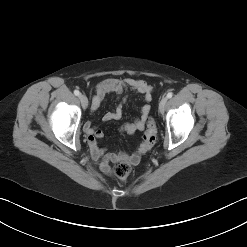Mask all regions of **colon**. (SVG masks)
Returning <instances> with one entry per match:
<instances>
[{
    "instance_id": "5ec220e1",
    "label": "colon",
    "mask_w": 247,
    "mask_h": 247,
    "mask_svg": "<svg viewBox=\"0 0 247 247\" xmlns=\"http://www.w3.org/2000/svg\"><path fill=\"white\" fill-rule=\"evenodd\" d=\"M157 126L152 118H147L146 130L143 135V141L139 148V153L144 154L148 152L156 142ZM131 171V164L128 161H119L113 167L115 176L119 179H126Z\"/></svg>"
}]
</instances>
